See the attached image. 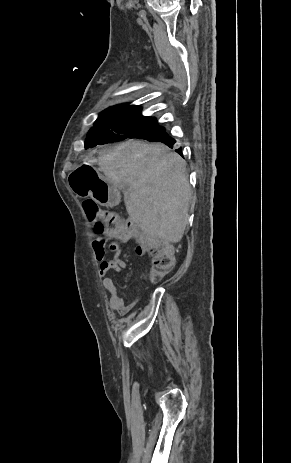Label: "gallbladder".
Wrapping results in <instances>:
<instances>
[{
	"instance_id": "obj_1",
	"label": "gallbladder",
	"mask_w": 291,
	"mask_h": 463,
	"mask_svg": "<svg viewBox=\"0 0 291 463\" xmlns=\"http://www.w3.org/2000/svg\"><path fill=\"white\" fill-rule=\"evenodd\" d=\"M127 189H128L127 185H123L122 187H120V190L123 192H126Z\"/></svg>"
}]
</instances>
